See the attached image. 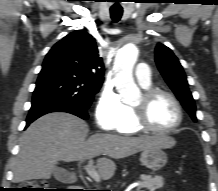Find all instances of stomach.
I'll use <instances>...</instances> for the list:
<instances>
[{"instance_id": "0dacf381", "label": "stomach", "mask_w": 218, "mask_h": 191, "mask_svg": "<svg viewBox=\"0 0 218 191\" xmlns=\"http://www.w3.org/2000/svg\"><path fill=\"white\" fill-rule=\"evenodd\" d=\"M140 162L146 168L157 171L167 163V154L160 147H150L142 151Z\"/></svg>"}]
</instances>
